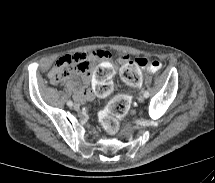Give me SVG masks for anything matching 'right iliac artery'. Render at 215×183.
Returning a JSON list of instances; mask_svg holds the SVG:
<instances>
[{
  "mask_svg": "<svg viewBox=\"0 0 215 183\" xmlns=\"http://www.w3.org/2000/svg\"><path fill=\"white\" fill-rule=\"evenodd\" d=\"M67 105H68L69 107H72V106H73V102H72L71 100H69V101L67 102Z\"/></svg>",
  "mask_w": 215,
  "mask_h": 183,
  "instance_id": "obj_1",
  "label": "right iliac artery"
}]
</instances>
